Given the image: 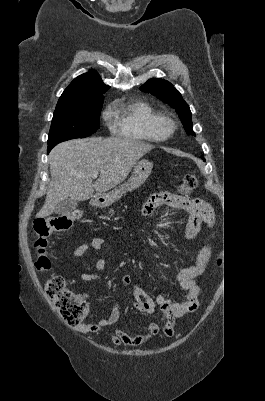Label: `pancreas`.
I'll return each instance as SVG.
<instances>
[{
  "label": "pancreas",
  "mask_w": 265,
  "mask_h": 401,
  "mask_svg": "<svg viewBox=\"0 0 265 401\" xmlns=\"http://www.w3.org/2000/svg\"><path fill=\"white\" fill-rule=\"evenodd\" d=\"M113 215H115V211H113V209H111V211H109V217H113Z\"/></svg>",
  "instance_id": "pancreas-1"
}]
</instances>
